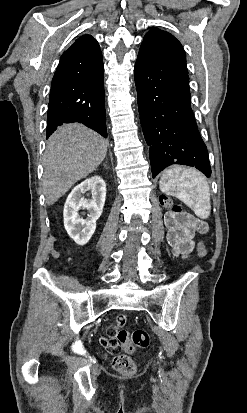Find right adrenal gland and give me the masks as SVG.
<instances>
[{
    "mask_svg": "<svg viewBox=\"0 0 247 413\" xmlns=\"http://www.w3.org/2000/svg\"><path fill=\"white\" fill-rule=\"evenodd\" d=\"M105 168H108V166H106V164H104Z\"/></svg>",
    "mask_w": 247,
    "mask_h": 413,
    "instance_id": "right-adrenal-gland-1",
    "label": "right adrenal gland"
}]
</instances>
